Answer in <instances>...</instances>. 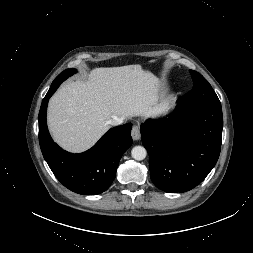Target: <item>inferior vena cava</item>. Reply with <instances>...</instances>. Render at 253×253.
I'll return each mask as SVG.
<instances>
[{
  "label": "inferior vena cava",
  "instance_id": "inferior-vena-cava-1",
  "mask_svg": "<svg viewBox=\"0 0 253 253\" xmlns=\"http://www.w3.org/2000/svg\"><path fill=\"white\" fill-rule=\"evenodd\" d=\"M122 122H123L122 118L114 117L108 121V124L112 126H117L122 124Z\"/></svg>",
  "mask_w": 253,
  "mask_h": 253
}]
</instances>
